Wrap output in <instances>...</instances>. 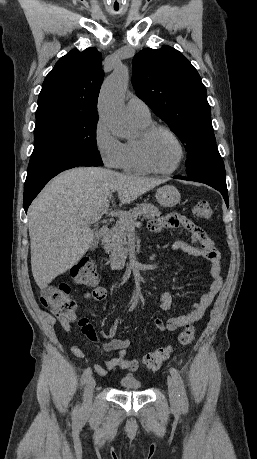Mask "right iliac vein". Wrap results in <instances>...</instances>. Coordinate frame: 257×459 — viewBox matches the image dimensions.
Wrapping results in <instances>:
<instances>
[{"label":"right iliac vein","mask_w":257,"mask_h":459,"mask_svg":"<svg viewBox=\"0 0 257 459\" xmlns=\"http://www.w3.org/2000/svg\"><path fill=\"white\" fill-rule=\"evenodd\" d=\"M96 385V380L93 377H90L85 386L84 392V406L88 407L91 403L92 394Z\"/></svg>","instance_id":"obj_1"}]
</instances>
